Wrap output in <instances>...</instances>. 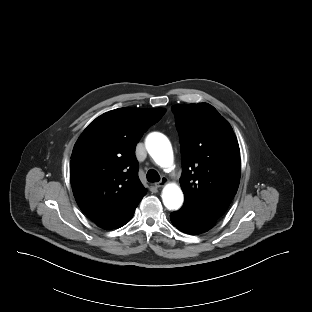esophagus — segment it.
I'll use <instances>...</instances> for the list:
<instances>
[{
    "instance_id": "obj_1",
    "label": "esophagus",
    "mask_w": 312,
    "mask_h": 312,
    "mask_svg": "<svg viewBox=\"0 0 312 312\" xmlns=\"http://www.w3.org/2000/svg\"><path fill=\"white\" fill-rule=\"evenodd\" d=\"M168 183V179L166 177H162L161 180L155 184L157 188H161Z\"/></svg>"
}]
</instances>
